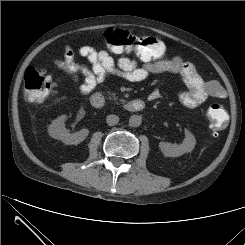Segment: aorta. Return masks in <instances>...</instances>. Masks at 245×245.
I'll return each mask as SVG.
<instances>
[{
	"label": "aorta",
	"mask_w": 245,
	"mask_h": 245,
	"mask_svg": "<svg viewBox=\"0 0 245 245\" xmlns=\"http://www.w3.org/2000/svg\"><path fill=\"white\" fill-rule=\"evenodd\" d=\"M141 117L138 116V115H132L130 118H129V125L131 127H138L141 125Z\"/></svg>",
	"instance_id": "obj_1"
}]
</instances>
